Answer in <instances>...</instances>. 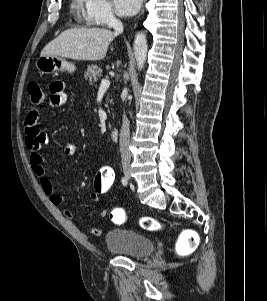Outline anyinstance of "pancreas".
Masks as SVG:
<instances>
[{
	"label": "pancreas",
	"instance_id": "pancreas-1",
	"mask_svg": "<svg viewBox=\"0 0 267 301\" xmlns=\"http://www.w3.org/2000/svg\"><path fill=\"white\" fill-rule=\"evenodd\" d=\"M101 73L102 70L97 65H91L87 67L84 77L90 84H93V82H96L101 77Z\"/></svg>",
	"mask_w": 267,
	"mask_h": 301
}]
</instances>
